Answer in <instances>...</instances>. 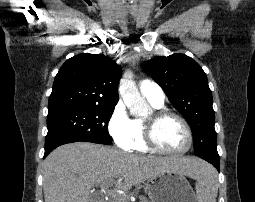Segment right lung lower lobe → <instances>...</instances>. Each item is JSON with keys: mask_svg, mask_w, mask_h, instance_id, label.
I'll use <instances>...</instances> for the list:
<instances>
[{"mask_svg": "<svg viewBox=\"0 0 255 202\" xmlns=\"http://www.w3.org/2000/svg\"><path fill=\"white\" fill-rule=\"evenodd\" d=\"M71 142H76L73 140H58V141H53L49 144L45 145V154H44V158L56 147L66 144V143H71Z\"/></svg>", "mask_w": 255, "mask_h": 202, "instance_id": "1", "label": "right lung lower lobe"}]
</instances>
